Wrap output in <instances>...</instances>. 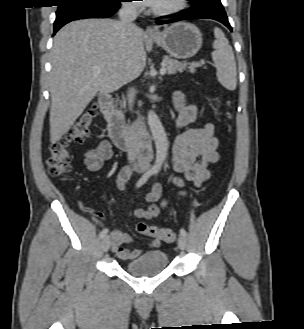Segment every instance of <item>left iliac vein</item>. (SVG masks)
<instances>
[{
  "label": "left iliac vein",
  "mask_w": 304,
  "mask_h": 329,
  "mask_svg": "<svg viewBox=\"0 0 304 329\" xmlns=\"http://www.w3.org/2000/svg\"><path fill=\"white\" fill-rule=\"evenodd\" d=\"M186 245H187L186 237L183 236V235H180L179 238H178V247L181 250H184L186 248Z\"/></svg>",
  "instance_id": "1"
}]
</instances>
